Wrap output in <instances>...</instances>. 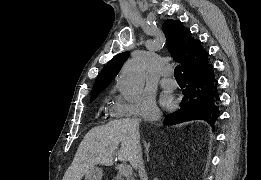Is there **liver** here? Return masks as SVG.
I'll return each instance as SVG.
<instances>
[{
  "instance_id": "liver-1",
  "label": "liver",
  "mask_w": 261,
  "mask_h": 180,
  "mask_svg": "<svg viewBox=\"0 0 261 180\" xmlns=\"http://www.w3.org/2000/svg\"><path fill=\"white\" fill-rule=\"evenodd\" d=\"M139 148L138 120L122 118V120H112L105 126L92 128L76 152L69 168L68 178L69 180H82L87 170H91L92 166H97V164L113 166L115 154H117L119 162H130L131 164L133 160H136Z\"/></svg>"
}]
</instances>
